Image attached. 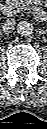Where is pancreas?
I'll return each mask as SVG.
<instances>
[{"label": "pancreas", "mask_w": 47, "mask_h": 129, "mask_svg": "<svg viewBox=\"0 0 47 129\" xmlns=\"http://www.w3.org/2000/svg\"><path fill=\"white\" fill-rule=\"evenodd\" d=\"M13 1H14L13 4L17 8L18 12L26 11L29 9L28 0H13Z\"/></svg>", "instance_id": "1"}]
</instances>
